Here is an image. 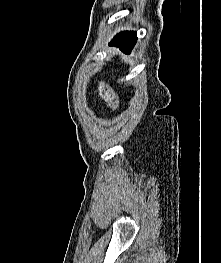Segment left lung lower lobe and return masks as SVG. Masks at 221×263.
Returning a JSON list of instances; mask_svg holds the SVG:
<instances>
[{
    "label": "left lung lower lobe",
    "mask_w": 221,
    "mask_h": 263,
    "mask_svg": "<svg viewBox=\"0 0 221 263\" xmlns=\"http://www.w3.org/2000/svg\"><path fill=\"white\" fill-rule=\"evenodd\" d=\"M137 41L136 32L124 31L117 34L109 45L119 47L123 52L130 53Z\"/></svg>",
    "instance_id": "left-lung-lower-lobe-1"
}]
</instances>
